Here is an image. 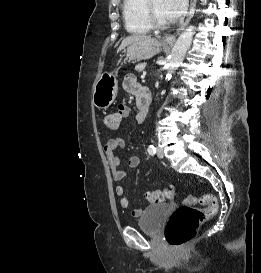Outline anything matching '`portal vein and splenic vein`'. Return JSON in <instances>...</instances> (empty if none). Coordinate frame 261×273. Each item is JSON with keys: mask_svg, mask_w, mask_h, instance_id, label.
Returning <instances> with one entry per match:
<instances>
[{"mask_svg": "<svg viewBox=\"0 0 261 273\" xmlns=\"http://www.w3.org/2000/svg\"><path fill=\"white\" fill-rule=\"evenodd\" d=\"M146 75V72H143V74L141 75V78L144 79Z\"/></svg>", "mask_w": 261, "mask_h": 273, "instance_id": "1", "label": "portal vein and splenic vein"}]
</instances>
